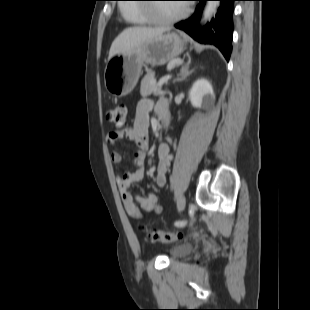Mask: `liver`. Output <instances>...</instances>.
Listing matches in <instances>:
<instances>
[{"mask_svg": "<svg viewBox=\"0 0 310 310\" xmlns=\"http://www.w3.org/2000/svg\"><path fill=\"white\" fill-rule=\"evenodd\" d=\"M170 31L166 27H130L122 31L112 42L108 60L115 54H128L133 49L142 46L153 38Z\"/></svg>", "mask_w": 310, "mask_h": 310, "instance_id": "obj_1", "label": "liver"}]
</instances>
